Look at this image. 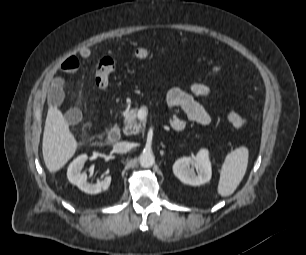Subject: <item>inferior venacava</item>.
<instances>
[{
  "label": "inferior vena cava",
  "instance_id": "obj_1",
  "mask_svg": "<svg viewBox=\"0 0 306 255\" xmlns=\"http://www.w3.org/2000/svg\"><path fill=\"white\" fill-rule=\"evenodd\" d=\"M133 145L129 142H118L113 146V150L116 153H126L131 150Z\"/></svg>",
  "mask_w": 306,
  "mask_h": 255
}]
</instances>
